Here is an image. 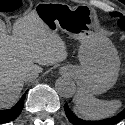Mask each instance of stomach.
<instances>
[{
	"label": "stomach",
	"instance_id": "obj_1",
	"mask_svg": "<svg viewBox=\"0 0 125 125\" xmlns=\"http://www.w3.org/2000/svg\"><path fill=\"white\" fill-rule=\"evenodd\" d=\"M35 12L51 31L61 30L80 41V66H72L79 90L98 95L113 87L120 70L118 51L97 29L88 8L40 4Z\"/></svg>",
	"mask_w": 125,
	"mask_h": 125
}]
</instances>
